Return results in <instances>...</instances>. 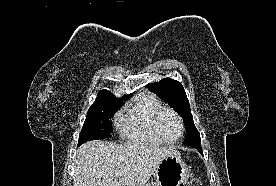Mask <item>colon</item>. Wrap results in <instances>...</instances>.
Returning a JSON list of instances; mask_svg holds the SVG:
<instances>
[{
  "mask_svg": "<svg viewBox=\"0 0 276 186\" xmlns=\"http://www.w3.org/2000/svg\"><path fill=\"white\" fill-rule=\"evenodd\" d=\"M188 186H203V185H202V182L200 180L194 179L189 183Z\"/></svg>",
  "mask_w": 276,
  "mask_h": 186,
  "instance_id": "1",
  "label": "colon"
}]
</instances>
